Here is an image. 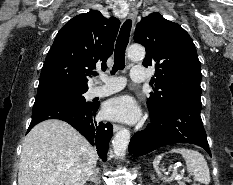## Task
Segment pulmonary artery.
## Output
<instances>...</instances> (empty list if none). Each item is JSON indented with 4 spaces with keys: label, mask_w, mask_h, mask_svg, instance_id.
<instances>
[{
    "label": "pulmonary artery",
    "mask_w": 233,
    "mask_h": 185,
    "mask_svg": "<svg viewBox=\"0 0 233 185\" xmlns=\"http://www.w3.org/2000/svg\"><path fill=\"white\" fill-rule=\"evenodd\" d=\"M130 77L135 82H143L147 78L146 69L142 67H133L130 71ZM98 79L103 81V84L97 85L92 89V95L94 97H103L113 94L120 91L125 85V80L122 77H109L101 73Z\"/></svg>",
    "instance_id": "pulmonary-artery-1"
}]
</instances>
